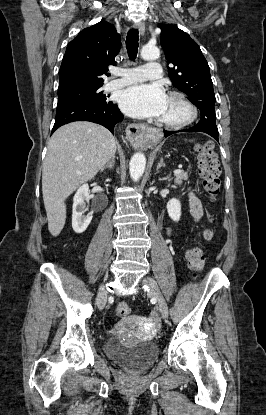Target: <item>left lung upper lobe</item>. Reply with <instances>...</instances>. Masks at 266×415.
Wrapping results in <instances>:
<instances>
[{
	"mask_svg": "<svg viewBox=\"0 0 266 415\" xmlns=\"http://www.w3.org/2000/svg\"><path fill=\"white\" fill-rule=\"evenodd\" d=\"M161 45L165 53L169 77L173 85L189 96L201 112V119L192 127L194 131L218 136L215 114V94L209 65L200 47L191 37L175 25L158 26Z\"/></svg>",
	"mask_w": 266,
	"mask_h": 415,
	"instance_id": "1",
	"label": "left lung upper lobe"
}]
</instances>
